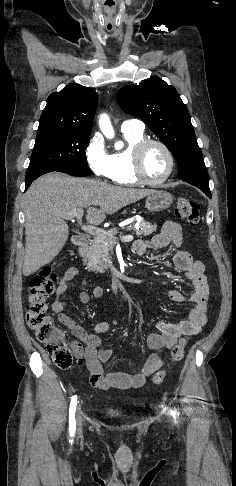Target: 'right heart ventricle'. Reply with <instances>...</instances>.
I'll return each instance as SVG.
<instances>
[{
    "mask_svg": "<svg viewBox=\"0 0 236 486\" xmlns=\"http://www.w3.org/2000/svg\"><path fill=\"white\" fill-rule=\"evenodd\" d=\"M127 146L115 151L111 157V177L110 179L117 184L134 186L139 181L135 178L132 169V149L140 141L145 139L143 131H122Z\"/></svg>",
    "mask_w": 236,
    "mask_h": 486,
    "instance_id": "right-heart-ventricle-1",
    "label": "right heart ventricle"
}]
</instances>
